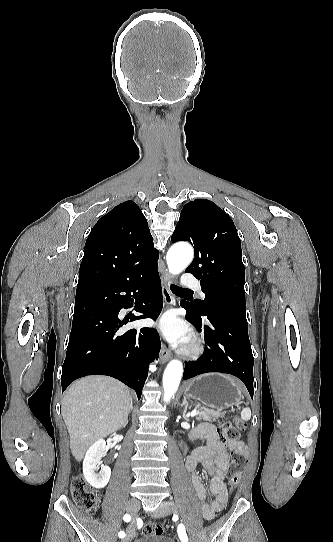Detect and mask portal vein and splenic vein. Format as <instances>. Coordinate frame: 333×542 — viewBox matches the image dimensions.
<instances>
[{"instance_id":"obj_1","label":"portal vein and splenic vein","mask_w":333,"mask_h":542,"mask_svg":"<svg viewBox=\"0 0 333 542\" xmlns=\"http://www.w3.org/2000/svg\"><path fill=\"white\" fill-rule=\"evenodd\" d=\"M196 414H197V410H193V412H191L190 416H192V418H193V416H196Z\"/></svg>"}]
</instances>
